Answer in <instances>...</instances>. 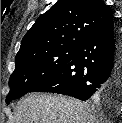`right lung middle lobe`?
I'll list each match as a JSON object with an SVG mask.
<instances>
[{
    "mask_svg": "<svg viewBox=\"0 0 122 123\" xmlns=\"http://www.w3.org/2000/svg\"><path fill=\"white\" fill-rule=\"evenodd\" d=\"M76 49H61L25 57L15 61L16 67L9 79L10 92L6 104L30 92L49 78L74 56Z\"/></svg>",
    "mask_w": 122,
    "mask_h": 123,
    "instance_id": "dd1d6c3e",
    "label": "right lung middle lobe"
}]
</instances>
